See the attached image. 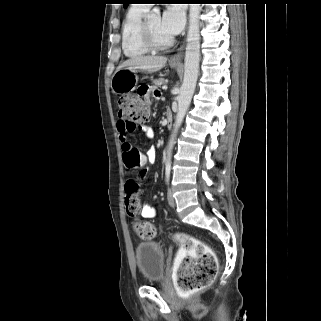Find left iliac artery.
<instances>
[{
    "mask_svg": "<svg viewBox=\"0 0 321 321\" xmlns=\"http://www.w3.org/2000/svg\"><path fill=\"white\" fill-rule=\"evenodd\" d=\"M170 170H171V164L168 162L166 164V170H165V175H166V182H169V177H170Z\"/></svg>",
    "mask_w": 321,
    "mask_h": 321,
    "instance_id": "left-iliac-artery-1",
    "label": "left iliac artery"
}]
</instances>
